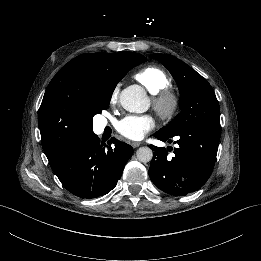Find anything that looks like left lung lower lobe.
<instances>
[{"instance_id": "obj_1", "label": "left lung lower lobe", "mask_w": 261, "mask_h": 261, "mask_svg": "<svg viewBox=\"0 0 261 261\" xmlns=\"http://www.w3.org/2000/svg\"><path fill=\"white\" fill-rule=\"evenodd\" d=\"M154 136L164 142L172 138L159 132ZM220 136V129L197 125L177 135L174 144L179 147L174 149L172 159L167 157L166 148L155 147L148 172L152 182L163 192L175 196L199 190L212 174Z\"/></svg>"}]
</instances>
